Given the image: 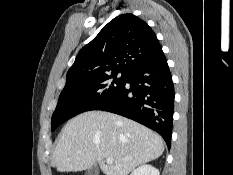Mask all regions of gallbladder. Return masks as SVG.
<instances>
[{
	"mask_svg": "<svg viewBox=\"0 0 233 175\" xmlns=\"http://www.w3.org/2000/svg\"><path fill=\"white\" fill-rule=\"evenodd\" d=\"M99 174V168L96 164H94L92 167H90L85 175H98Z\"/></svg>",
	"mask_w": 233,
	"mask_h": 175,
	"instance_id": "obj_1",
	"label": "gallbladder"
}]
</instances>
